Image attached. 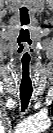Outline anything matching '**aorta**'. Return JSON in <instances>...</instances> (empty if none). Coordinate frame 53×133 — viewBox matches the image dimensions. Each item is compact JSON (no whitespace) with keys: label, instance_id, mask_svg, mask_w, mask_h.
Segmentation results:
<instances>
[{"label":"aorta","instance_id":"762f6f07","mask_svg":"<svg viewBox=\"0 0 53 133\" xmlns=\"http://www.w3.org/2000/svg\"><path fill=\"white\" fill-rule=\"evenodd\" d=\"M50 125V119L45 116H34L22 123V129L25 132L38 133Z\"/></svg>","mask_w":53,"mask_h":133}]
</instances>
